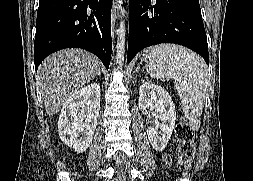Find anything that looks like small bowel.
Returning a JSON list of instances; mask_svg holds the SVG:
<instances>
[{
    "label": "small bowel",
    "mask_w": 253,
    "mask_h": 181,
    "mask_svg": "<svg viewBox=\"0 0 253 181\" xmlns=\"http://www.w3.org/2000/svg\"><path fill=\"white\" fill-rule=\"evenodd\" d=\"M162 163L164 164V166L170 165L171 160H170V156L167 153L162 155Z\"/></svg>",
    "instance_id": "small-bowel-1"
}]
</instances>
